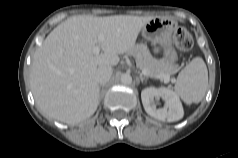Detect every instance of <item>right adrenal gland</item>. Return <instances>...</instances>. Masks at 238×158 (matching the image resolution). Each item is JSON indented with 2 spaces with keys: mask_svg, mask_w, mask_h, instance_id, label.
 <instances>
[{
  "mask_svg": "<svg viewBox=\"0 0 238 158\" xmlns=\"http://www.w3.org/2000/svg\"><path fill=\"white\" fill-rule=\"evenodd\" d=\"M103 88H104V85H100V87H99V90H100L99 100L101 99V95H102V90H103Z\"/></svg>",
  "mask_w": 238,
  "mask_h": 158,
  "instance_id": "right-adrenal-gland-1",
  "label": "right adrenal gland"
}]
</instances>
